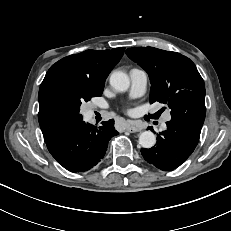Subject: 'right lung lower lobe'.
I'll return each instance as SVG.
<instances>
[{
  "label": "right lung lower lobe",
  "instance_id": "98d812e1",
  "mask_svg": "<svg viewBox=\"0 0 231 231\" xmlns=\"http://www.w3.org/2000/svg\"><path fill=\"white\" fill-rule=\"evenodd\" d=\"M96 127L84 121L69 125L45 141L51 155L71 172H84L105 155L108 141L118 132L114 120Z\"/></svg>",
  "mask_w": 231,
  "mask_h": 231
}]
</instances>
